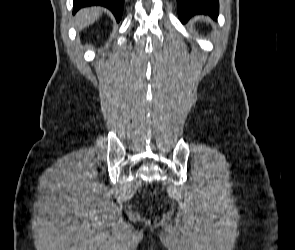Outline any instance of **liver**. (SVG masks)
Listing matches in <instances>:
<instances>
[{
  "mask_svg": "<svg viewBox=\"0 0 295 250\" xmlns=\"http://www.w3.org/2000/svg\"><path fill=\"white\" fill-rule=\"evenodd\" d=\"M101 15V9L98 7L84 8L76 14V27L81 30L84 27L93 24Z\"/></svg>",
  "mask_w": 295,
  "mask_h": 250,
  "instance_id": "liver-1",
  "label": "liver"
}]
</instances>
